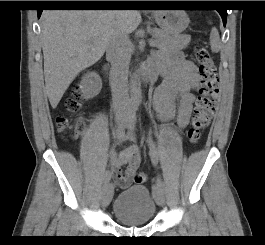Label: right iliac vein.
I'll return each instance as SVG.
<instances>
[{"instance_id": "obj_1", "label": "right iliac vein", "mask_w": 265, "mask_h": 245, "mask_svg": "<svg viewBox=\"0 0 265 245\" xmlns=\"http://www.w3.org/2000/svg\"><path fill=\"white\" fill-rule=\"evenodd\" d=\"M124 121H125L124 117H118L116 119L118 125L124 124ZM113 193H114V187L111 183H107L106 185H104L102 190V198H101L102 206L105 207L110 203Z\"/></svg>"}]
</instances>
